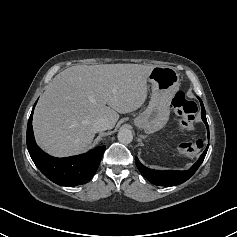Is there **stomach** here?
Wrapping results in <instances>:
<instances>
[{
  "mask_svg": "<svg viewBox=\"0 0 237 237\" xmlns=\"http://www.w3.org/2000/svg\"><path fill=\"white\" fill-rule=\"evenodd\" d=\"M147 79L152 84L151 100L133 122L151 134L162 129L169 119L170 100L179 86V74L172 67L155 66Z\"/></svg>",
  "mask_w": 237,
  "mask_h": 237,
  "instance_id": "stomach-1",
  "label": "stomach"
}]
</instances>
